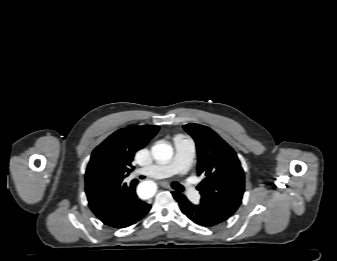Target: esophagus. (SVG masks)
<instances>
[{
  "label": "esophagus",
  "instance_id": "1",
  "mask_svg": "<svg viewBox=\"0 0 337 261\" xmlns=\"http://www.w3.org/2000/svg\"><path fill=\"white\" fill-rule=\"evenodd\" d=\"M162 186H163L164 188H167V189H169V190H172V188H171L168 184H166V183H162Z\"/></svg>",
  "mask_w": 337,
  "mask_h": 261
}]
</instances>
